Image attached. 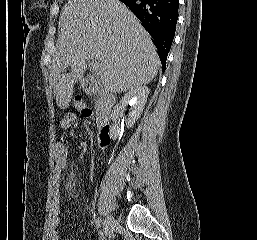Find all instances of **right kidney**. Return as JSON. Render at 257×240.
I'll return each instance as SVG.
<instances>
[{"label":"right kidney","instance_id":"ca27d5eb","mask_svg":"<svg viewBox=\"0 0 257 240\" xmlns=\"http://www.w3.org/2000/svg\"><path fill=\"white\" fill-rule=\"evenodd\" d=\"M149 94V88L146 86H141L138 88L131 89L129 92H127L122 100L120 101V104L116 106L115 108V116L118 117L122 114V112L125 110V107L129 104L130 107V113L129 117L126 121L127 128L133 127L135 122L140 118L145 103L147 101ZM111 134L114 140H116L120 135V127L117 125L112 126Z\"/></svg>","mask_w":257,"mask_h":240}]
</instances>
